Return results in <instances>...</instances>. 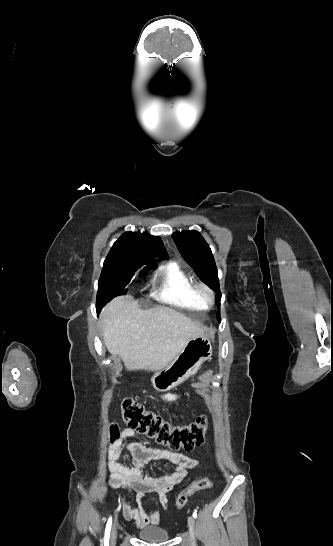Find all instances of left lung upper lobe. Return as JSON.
<instances>
[{
    "label": "left lung upper lobe",
    "mask_w": 333,
    "mask_h": 546,
    "mask_svg": "<svg viewBox=\"0 0 333 546\" xmlns=\"http://www.w3.org/2000/svg\"><path fill=\"white\" fill-rule=\"evenodd\" d=\"M172 238L185 261L206 285L218 292L220 300L221 292L219 289L217 267L211 249L202 235L192 230L174 232ZM217 319L221 321L219 311Z\"/></svg>",
    "instance_id": "left-lung-upper-lobe-1"
}]
</instances>
